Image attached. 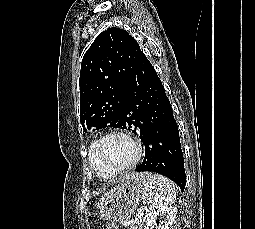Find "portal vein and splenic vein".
<instances>
[{
    "label": "portal vein and splenic vein",
    "mask_w": 255,
    "mask_h": 229,
    "mask_svg": "<svg viewBox=\"0 0 255 229\" xmlns=\"http://www.w3.org/2000/svg\"><path fill=\"white\" fill-rule=\"evenodd\" d=\"M138 213L143 215V210L142 209H138Z\"/></svg>",
    "instance_id": "portal-vein-and-splenic-vein-1"
}]
</instances>
